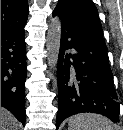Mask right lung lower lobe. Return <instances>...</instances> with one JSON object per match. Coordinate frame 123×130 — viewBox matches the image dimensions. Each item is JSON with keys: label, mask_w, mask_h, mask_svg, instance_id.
<instances>
[{"label": "right lung lower lobe", "mask_w": 123, "mask_h": 130, "mask_svg": "<svg viewBox=\"0 0 123 130\" xmlns=\"http://www.w3.org/2000/svg\"><path fill=\"white\" fill-rule=\"evenodd\" d=\"M24 27L1 31V106L25 124L26 45Z\"/></svg>", "instance_id": "98d812e1"}]
</instances>
